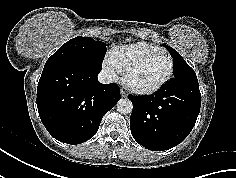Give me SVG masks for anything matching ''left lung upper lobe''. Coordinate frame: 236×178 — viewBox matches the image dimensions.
<instances>
[{
    "label": "left lung upper lobe",
    "mask_w": 236,
    "mask_h": 178,
    "mask_svg": "<svg viewBox=\"0 0 236 178\" xmlns=\"http://www.w3.org/2000/svg\"><path fill=\"white\" fill-rule=\"evenodd\" d=\"M171 56L173 57L174 61V78L178 79H197V76L194 72V70L186 63V61L183 59V57L172 47L168 45H164Z\"/></svg>",
    "instance_id": "1"
}]
</instances>
